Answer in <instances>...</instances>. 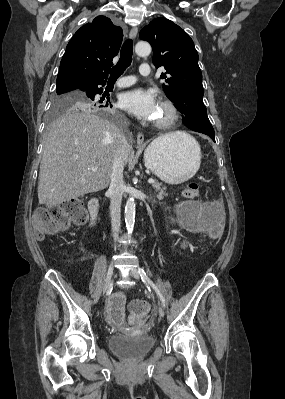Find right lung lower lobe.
Listing matches in <instances>:
<instances>
[{
  "label": "right lung lower lobe",
  "mask_w": 285,
  "mask_h": 399,
  "mask_svg": "<svg viewBox=\"0 0 285 399\" xmlns=\"http://www.w3.org/2000/svg\"><path fill=\"white\" fill-rule=\"evenodd\" d=\"M105 83L106 79H93L85 82L79 86L78 89L89 94L97 95L102 93V89L99 88L98 85H105Z\"/></svg>",
  "instance_id": "obj_1"
}]
</instances>
